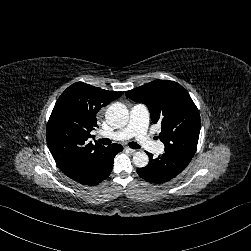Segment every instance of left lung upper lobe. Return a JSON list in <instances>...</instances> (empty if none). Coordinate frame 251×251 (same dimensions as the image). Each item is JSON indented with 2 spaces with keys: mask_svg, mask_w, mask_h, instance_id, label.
Returning a JSON list of instances; mask_svg holds the SVG:
<instances>
[{
  "mask_svg": "<svg viewBox=\"0 0 251 251\" xmlns=\"http://www.w3.org/2000/svg\"><path fill=\"white\" fill-rule=\"evenodd\" d=\"M131 100L147 105L153 123L161 125L159 139L165 150L193 157L200 133L199 111L178 83L155 80L126 92Z\"/></svg>",
  "mask_w": 251,
  "mask_h": 251,
  "instance_id": "obj_1",
  "label": "left lung upper lobe"
}]
</instances>
